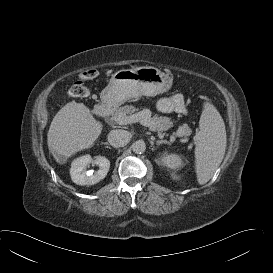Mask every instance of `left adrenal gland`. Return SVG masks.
<instances>
[{
    "label": "left adrenal gland",
    "instance_id": "a2214340",
    "mask_svg": "<svg viewBox=\"0 0 273 273\" xmlns=\"http://www.w3.org/2000/svg\"><path fill=\"white\" fill-rule=\"evenodd\" d=\"M166 143H167V141H165V140H160V141L157 140V141H156V145H157V146H159V145H161V144H166Z\"/></svg>",
    "mask_w": 273,
    "mask_h": 273
}]
</instances>
